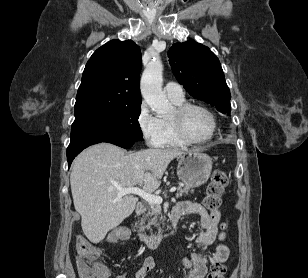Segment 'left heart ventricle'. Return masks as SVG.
Segmentation results:
<instances>
[{
    "label": "left heart ventricle",
    "instance_id": "1",
    "mask_svg": "<svg viewBox=\"0 0 308 278\" xmlns=\"http://www.w3.org/2000/svg\"><path fill=\"white\" fill-rule=\"evenodd\" d=\"M174 116V111L169 118ZM183 126L187 134L194 139L206 138L212 129L209 115L201 109L193 108L183 117Z\"/></svg>",
    "mask_w": 308,
    "mask_h": 278
}]
</instances>
